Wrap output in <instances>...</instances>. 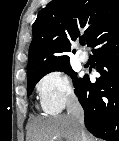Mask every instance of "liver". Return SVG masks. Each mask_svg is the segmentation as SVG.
Segmentation results:
<instances>
[{
  "label": "liver",
  "instance_id": "liver-1",
  "mask_svg": "<svg viewBox=\"0 0 119 141\" xmlns=\"http://www.w3.org/2000/svg\"><path fill=\"white\" fill-rule=\"evenodd\" d=\"M28 141H81L74 118L70 115H58L38 118L32 121ZM88 141H95L87 136Z\"/></svg>",
  "mask_w": 119,
  "mask_h": 141
}]
</instances>
